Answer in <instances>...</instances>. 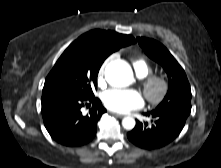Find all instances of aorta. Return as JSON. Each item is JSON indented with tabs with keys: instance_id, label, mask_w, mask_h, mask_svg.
Masks as SVG:
<instances>
[{
	"instance_id": "obj_1",
	"label": "aorta",
	"mask_w": 221,
	"mask_h": 168,
	"mask_svg": "<svg viewBox=\"0 0 221 168\" xmlns=\"http://www.w3.org/2000/svg\"><path fill=\"white\" fill-rule=\"evenodd\" d=\"M105 78L107 82L114 87H126L133 81V71L128 62L124 60L111 61L105 68ZM122 126L126 130L135 127V119L133 117H124Z\"/></svg>"
}]
</instances>
